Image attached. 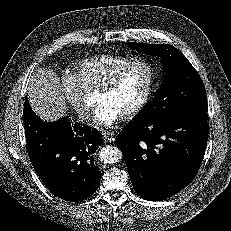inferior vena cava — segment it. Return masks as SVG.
Returning a JSON list of instances; mask_svg holds the SVG:
<instances>
[{
  "instance_id": "inferior-vena-cava-1",
  "label": "inferior vena cava",
  "mask_w": 231,
  "mask_h": 231,
  "mask_svg": "<svg viewBox=\"0 0 231 231\" xmlns=\"http://www.w3.org/2000/svg\"><path fill=\"white\" fill-rule=\"evenodd\" d=\"M80 117L83 119H89L90 111L88 109L83 110L80 114Z\"/></svg>"
}]
</instances>
